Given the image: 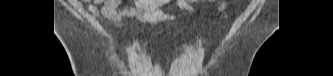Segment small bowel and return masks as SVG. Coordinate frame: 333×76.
<instances>
[{"label": "small bowel", "instance_id": "c3829d8e", "mask_svg": "<svg viewBox=\"0 0 333 76\" xmlns=\"http://www.w3.org/2000/svg\"><path fill=\"white\" fill-rule=\"evenodd\" d=\"M194 2L193 0H136L133 4L124 6L120 0H93L88 9L95 17H103L114 27H121L122 22L128 18H138L150 23L175 21L176 16L166 13L163 7L171 4L192 12ZM225 6V3H222L220 10Z\"/></svg>", "mask_w": 333, "mask_h": 76}]
</instances>
